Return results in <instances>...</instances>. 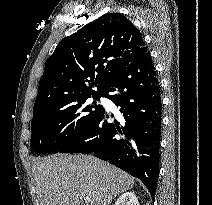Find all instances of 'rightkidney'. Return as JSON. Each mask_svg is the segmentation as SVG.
<instances>
[{
    "label": "right kidney",
    "instance_id": "obj_1",
    "mask_svg": "<svg viewBox=\"0 0 212 205\" xmlns=\"http://www.w3.org/2000/svg\"><path fill=\"white\" fill-rule=\"evenodd\" d=\"M115 205H139V202L134 193L125 192L117 199Z\"/></svg>",
    "mask_w": 212,
    "mask_h": 205
}]
</instances>
